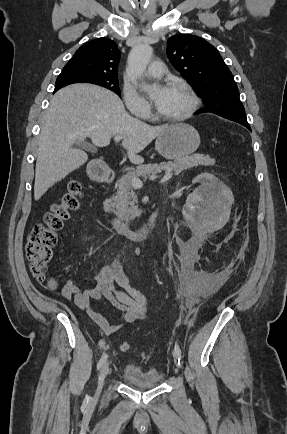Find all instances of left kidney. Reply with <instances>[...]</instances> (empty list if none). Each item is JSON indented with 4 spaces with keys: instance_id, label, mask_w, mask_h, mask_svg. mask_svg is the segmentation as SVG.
<instances>
[{
    "instance_id": "1",
    "label": "left kidney",
    "mask_w": 287,
    "mask_h": 434,
    "mask_svg": "<svg viewBox=\"0 0 287 434\" xmlns=\"http://www.w3.org/2000/svg\"><path fill=\"white\" fill-rule=\"evenodd\" d=\"M201 186L187 198L183 216L189 223L212 218V214L223 223V218L230 214L234 197L231 190L217 177L203 173L195 178Z\"/></svg>"
}]
</instances>
